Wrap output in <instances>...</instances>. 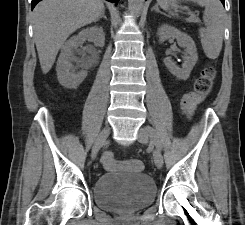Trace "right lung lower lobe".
Wrapping results in <instances>:
<instances>
[{
	"label": "right lung lower lobe",
	"instance_id": "98d812e1",
	"mask_svg": "<svg viewBox=\"0 0 245 225\" xmlns=\"http://www.w3.org/2000/svg\"><path fill=\"white\" fill-rule=\"evenodd\" d=\"M39 1H41V0H32V4H31L32 9L35 7V5H36ZM107 1H110V2H117V1H119V0H107Z\"/></svg>",
	"mask_w": 245,
	"mask_h": 225
}]
</instances>
